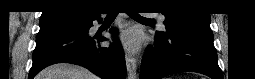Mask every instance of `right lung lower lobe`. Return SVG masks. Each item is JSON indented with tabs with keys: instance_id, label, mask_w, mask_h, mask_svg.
I'll use <instances>...</instances> for the list:
<instances>
[{
	"instance_id": "98d812e1",
	"label": "right lung lower lobe",
	"mask_w": 255,
	"mask_h": 79,
	"mask_svg": "<svg viewBox=\"0 0 255 79\" xmlns=\"http://www.w3.org/2000/svg\"><path fill=\"white\" fill-rule=\"evenodd\" d=\"M94 17L76 28H55L38 33L33 64L28 79L43 68L55 63H73L84 66L103 79H125L126 63L123 49L115 40L109 48L100 47L102 36H89ZM116 33L115 29H111Z\"/></svg>"
}]
</instances>
